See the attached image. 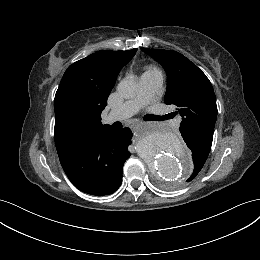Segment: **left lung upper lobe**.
<instances>
[{"instance_id":"5c2ea615","label":"left lung upper lobe","mask_w":260,"mask_h":260,"mask_svg":"<svg viewBox=\"0 0 260 260\" xmlns=\"http://www.w3.org/2000/svg\"><path fill=\"white\" fill-rule=\"evenodd\" d=\"M152 56L167 73L165 103L177 107L182 116L180 132L211 149L217 118L216 97L206 75L182 54L171 50L142 49ZM176 115V112H175ZM193 159V153H192ZM206 158L194 162V170L200 171Z\"/></svg>"}]
</instances>
